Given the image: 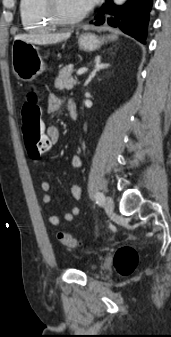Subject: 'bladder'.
Here are the masks:
<instances>
[{"label": "bladder", "mask_w": 171, "mask_h": 337, "mask_svg": "<svg viewBox=\"0 0 171 337\" xmlns=\"http://www.w3.org/2000/svg\"><path fill=\"white\" fill-rule=\"evenodd\" d=\"M97 268H98L97 264H92V265H90L89 270L90 271H95Z\"/></svg>", "instance_id": "31cf9c89"}]
</instances>
